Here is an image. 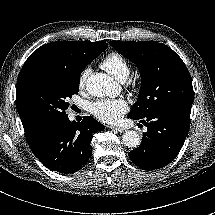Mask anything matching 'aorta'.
I'll list each match as a JSON object with an SVG mask.
<instances>
[{"label": "aorta", "instance_id": "obj_1", "mask_svg": "<svg viewBox=\"0 0 215 215\" xmlns=\"http://www.w3.org/2000/svg\"><path fill=\"white\" fill-rule=\"evenodd\" d=\"M113 83L104 73H94L85 82L86 91L94 97H104L111 91ZM124 146L135 149L141 143V136L134 130L126 131L122 136Z\"/></svg>", "mask_w": 215, "mask_h": 215}]
</instances>
